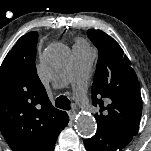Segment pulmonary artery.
I'll return each instance as SVG.
<instances>
[{
  "mask_svg": "<svg viewBox=\"0 0 151 151\" xmlns=\"http://www.w3.org/2000/svg\"><path fill=\"white\" fill-rule=\"evenodd\" d=\"M73 56V64L65 81L60 82L59 86L61 87L66 82H70L73 85L77 101L82 106L89 107L86 88L96 52L92 47L78 43L73 46Z\"/></svg>",
  "mask_w": 151,
  "mask_h": 151,
  "instance_id": "e3ab8cb5",
  "label": "pulmonary artery"
}]
</instances>
